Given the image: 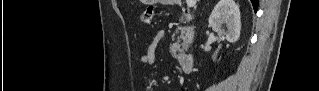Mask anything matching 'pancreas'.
Here are the masks:
<instances>
[{
    "mask_svg": "<svg viewBox=\"0 0 319 91\" xmlns=\"http://www.w3.org/2000/svg\"><path fill=\"white\" fill-rule=\"evenodd\" d=\"M186 20L189 21L190 18L186 17ZM183 21V17L181 18ZM180 35L177 37V41L171 46V55L174 57H181L183 52L186 50L188 43L192 40L194 31L192 27H182L180 26ZM177 30V33L179 32Z\"/></svg>",
    "mask_w": 319,
    "mask_h": 91,
    "instance_id": "cf45deb5",
    "label": "pancreas"
}]
</instances>
